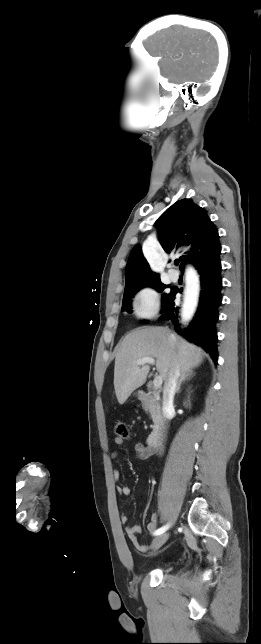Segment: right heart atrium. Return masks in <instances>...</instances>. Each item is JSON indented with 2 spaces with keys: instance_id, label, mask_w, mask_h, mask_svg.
Returning <instances> with one entry per match:
<instances>
[{
  "instance_id": "d8ad5b80",
  "label": "right heart atrium",
  "mask_w": 261,
  "mask_h": 644,
  "mask_svg": "<svg viewBox=\"0 0 261 644\" xmlns=\"http://www.w3.org/2000/svg\"><path fill=\"white\" fill-rule=\"evenodd\" d=\"M134 309L140 318H151L159 310V297L151 287L141 289L134 298Z\"/></svg>"
}]
</instances>
